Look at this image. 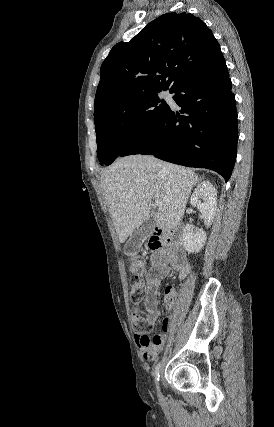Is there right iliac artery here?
Wrapping results in <instances>:
<instances>
[{
	"label": "right iliac artery",
	"instance_id": "right-iliac-artery-1",
	"mask_svg": "<svg viewBox=\"0 0 274 427\" xmlns=\"http://www.w3.org/2000/svg\"><path fill=\"white\" fill-rule=\"evenodd\" d=\"M159 372H160V363H158V364L155 366V370H154L155 383H156L157 385H158L159 377H160Z\"/></svg>",
	"mask_w": 274,
	"mask_h": 427
}]
</instances>
